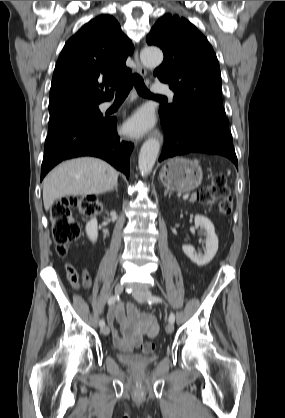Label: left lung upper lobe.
I'll return each instance as SVG.
<instances>
[{"label": "left lung upper lobe", "instance_id": "1", "mask_svg": "<svg viewBox=\"0 0 285 418\" xmlns=\"http://www.w3.org/2000/svg\"><path fill=\"white\" fill-rule=\"evenodd\" d=\"M146 41L163 50V63L154 77L168 83L173 104L161 106V118L175 121L197 110L223 116L220 67L214 50L197 28L183 17L165 14Z\"/></svg>", "mask_w": 285, "mask_h": 418}]
</instances>
